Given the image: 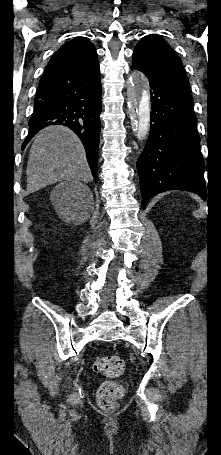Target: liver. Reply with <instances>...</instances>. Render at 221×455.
I'll return each instance as SVG.
<instances>
[{
	"instance_id": "liver-1",
	"label": "liver",
	"mask_w": 221,
	"mask_h": 455,
	"mask_svg": "<svg viewBox=\"0 0 221 455\" xmlns=\"http://www.w3.org/2000/svg\"><path fill=\"white\" fill-rule=\"evenodd\" d=\"M27 192L64 180L91 181L85 150L67 127L49 126L34 139L27 163Z\"/></svg>"
}]
</instances>
